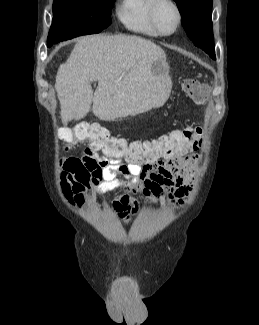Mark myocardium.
<instances>
[{
  "instance_id": "obj_1",
  "label": "myocardium",
  "mask_w": 259,
  "mask_h": 325,
  "mask_svg": "<svg viewBox=\"0 0 259 325\" xmlns=\"http://www.w3.org/2000/svg\"><path fill=\"white\" fill-rule=\"evenodd\" d=\"M163 2L170 3L175 8L176 13H177V23H176L174 29L170 32L162 31L157 23V20H156L157 8ZM149 19H150L152 26L154 27V29L157 31V33L159 35L169 36V35L174 34L181 26V23L183 20V12H182L180 4L176 0H152V4L150 5V8H149Z\"/></svg>"
}]
</instances>
